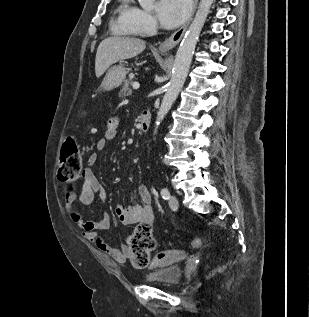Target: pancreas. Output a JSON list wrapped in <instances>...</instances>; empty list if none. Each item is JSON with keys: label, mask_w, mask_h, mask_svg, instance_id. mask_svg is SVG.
I'll use <instances>...</instances> for the list:
<instances>
[{"label": "pancreas", "mask_w": 309, "mask_h": 317, "mask_svg": "<svg viewBox=\"0 0 309 317\" xmlns=\"http://www.w3.org/2000/svg\"><path fill=\"white\" fill-rule=\"evenodd\" d=\"M132 84H133V81L131 78L124 81V84L119 92L120 98H125L132 94V89L130 88Z\"/></svg>", "instance_id": "pancreas-1"}]
</instances>
